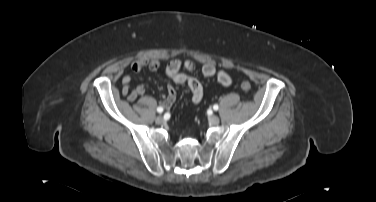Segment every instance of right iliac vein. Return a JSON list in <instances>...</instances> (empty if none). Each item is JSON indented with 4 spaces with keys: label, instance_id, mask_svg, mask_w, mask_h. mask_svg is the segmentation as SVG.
<instances>
[{
    "label": "right iliac vein",
    "instance_id": "right-iliac-vein-1",
    "mask_svg": "<svg viewBox=\"0 0 376 202\" xmlns=\"http://www.w3.org/2000/svg\"><path fill=\"white\" fill-rule=\"evenodd\" d=\"M155 121H156L157 124H161V123L164 122V118L162 116H157Z\"/></svg>",
    "mask_w": 376,
    "mask_h": 202
}]
</instances>
